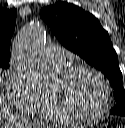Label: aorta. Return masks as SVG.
I'll return each instance as SVG.
<instances>
[{"mask_svg": "<svg viewBox=\"0 0 125 128\" xmlns=\"http://www.w3.org/2000/svg\"><path fill=\"white\" fill-rule=\"evenodd\" d=\"M46 40L44 28L35 24L24 28L13 42L15 64L39 89L48 90L54 84L53 73L43 61L40 50Z\"/></svg>", "mask_w": 125, "mask_h": 128, "instance_id": "obj_1", "label": "aorta"}]
</instances>
